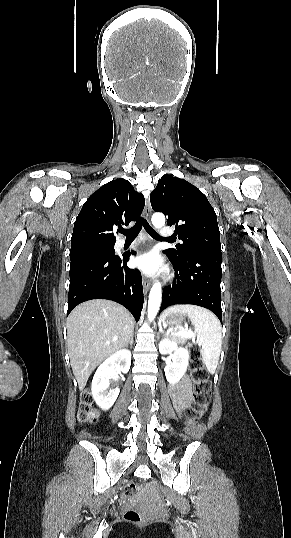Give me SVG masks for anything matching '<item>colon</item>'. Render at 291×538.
Instances as JSON below:
<instances>
[{"mask_svg": "<svg viewBox=\"0 0 291 538\" xmlns=\"http://www.w3.org/2000/svg\"><path fill=\"white\" fill-rule=\"evenodd\" d=\"M190 356L193 361V380H194V397L192 403L186 408L185 416L188 423H193L198 420L204 413L210 399L211 384L208 372L203 365L196 350L190 351ZM97 416V411L93 407V399L89 390H86L81 395V401L78 410V419L80 422H91ZM124 494L127 497H132L135 494V486L127 484L124 489ZM126 521L133 524H143L146 519L136 510H127L124 514Z\"/></svg>", "mask_w": 291, "mask_h": 538, "instance_id": "obj_1", "label": "colon"}]
</instances>
